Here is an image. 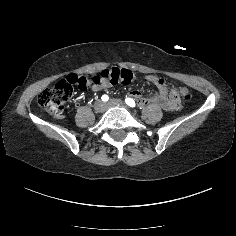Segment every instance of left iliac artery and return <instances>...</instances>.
Returning a JSON list of instances; mask_svg holds the SVG:
<instances>
[{
  "label": "left iliac artery",
  "mask_w": 236,
  "mask_h": 236,
  "mask_svg": "<svg viewBox=\"0 0 236 236\" xmlns=\"http://www.w3.org/2000/svg\"><path fill=\"white\" fill-rule=\"evenodd\" d=\"M125 102L127 105H129L130 107H135V101L131 98H126Z\"/></svg>",
  "instance_id": "1"
}]
</instances>
